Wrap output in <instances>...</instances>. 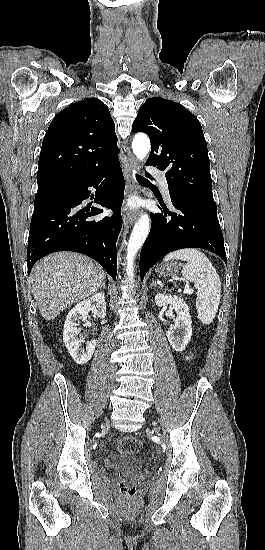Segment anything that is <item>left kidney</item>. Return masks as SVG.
Returning a JSON list of instances; mask_svg holds the SVG:
<instances>
[{
    "mask_svg": "<svg viewBox=\"0 0 265 550\" xmlns=\"http://www.w3.org/2000/svg\"><path fill=\"white\" fill-rule=\"evenodd\" d=\"M157 306L170 304L176 311L177 317L174 325L167 331V338L175 351L185 350L192 336V321L189 314V306L181 298L172 295L157 294L155 296Z\"/></svg>",
    "mask_w": 265,
    "mask_h": 550,
    "instance_id": "1",
    "label": "left kidney"
}]
</instances>
